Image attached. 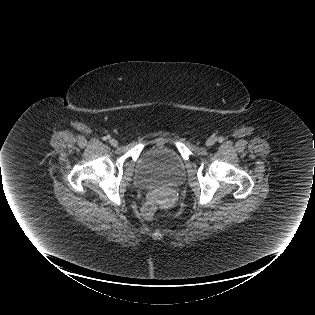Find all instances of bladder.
<instances>
[{
	"mask_svg": "<svg viewBox=\"0 0 315 315\" xmlns=\"http://www.w3.org/2000/svg\"><path fill=\"white\" fill-rule=\"evenodd\" d=\"M184 176V163L178 153L168 146H156L139 160L135 183L144 189L177 186Z\"/></svg>",
	"mask_w": 315,
	"mask_h": 315,
	"instance_id": "bladder-1",
	"label": "bladder"
}]
</instances>
